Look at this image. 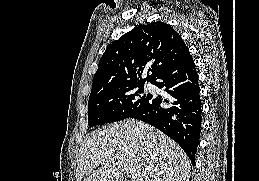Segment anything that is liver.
I'll use <instances>...</instances> for the list:
<instances>
[{
    "label": "liver",
    "mask_w": 259,
    "mask_h": 181,
    "mask_svg": "<svg viewBox=\"0 0 259 181\" xmlns=\"http://www.w3.org/2000/svg\"><path fill=\"white\" fill-rule=\"evenodd\" d=\"M190 167L176 142L142 121L129 119L93 132L82 144L76 179L124 181L132 168L136 170L132 181H189Z\"/></svg>",
    "instance_id": "1"
}]
</instances>
